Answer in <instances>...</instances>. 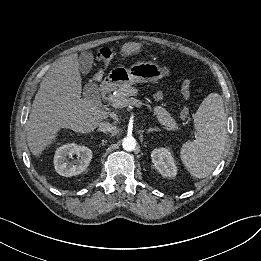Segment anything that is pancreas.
<instances>
[{"label":"pancreas","instance_id":"pancreas-1","mask_svg":"<svg viewBox=\"0 0 261 261\" xmlns=\"http://www.w3.org/2000/svg\"><path fill=\"white\" fill-rule=\"evenodd\" d=\"M137 93L138 90L135 87L124 85L119 87L114 94L109 96V101L114 103L117 101L131 100V96H135ZM152 111L153 115L157 117V120L164 129L169 131L178 129L175 119L171 117V114L165 108L162 106H155Z\"/></svg>","mask_w":261,"mask_h":261}]
</instances>
